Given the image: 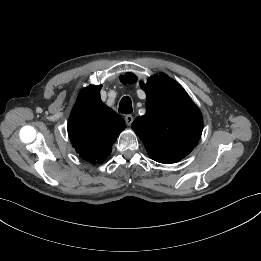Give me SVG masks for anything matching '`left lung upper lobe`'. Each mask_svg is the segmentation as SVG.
Wrapping results in <instances>:
<instances>
[{
	"label": "left lung upper lobe",
	"instance_id": "5c2ea615",
	"mask_svg": "<svg viewBox=\"0 0 261 261\" xmlns=\"http://www.w3.org/2000/svg\"><path fill=\"white\" fill-rule=\"evenodd\" d=\"M125 74L121 80L136 81ZM146 92V114L132 123L148 155L160 163H175L186 157L198 144L203 120L198 107L185 90L166 75L151 77L142 84Z\"/></svg>",
	"mask_w": 261,
	"mask_h": 261
}]
</instances>
